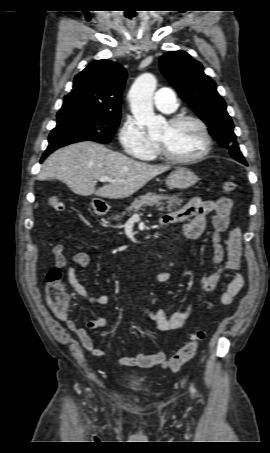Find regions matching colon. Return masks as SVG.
I'll return each instance as SVG.
<instances>
[{"instance_id":"obj_1","label":"colon","mask_w":270,"mask_h":453,"mask_svg":"<svg viewBox=\"0 0 270 453\" xmlns=\"http://www.w3.org/2000/svg\"><path fill=\"white\" fill-rule=\"evenodd\" d=\"M237 188L238 185L233 180L224 181L222 184V189L225 192H234ZM47 203L50 208L58 212L63 211L65 208L62 200L56 195L49 196ZM46 294L48 306L56 316L64 317L69 314L70 297L64 288L62 273L57 267H53L47 273ZM205 337L206 334L203 330H197L193 333L189 342L164 362L163 367L171 371L179 370L195 356L200 343L204 341Z\"/></svg>"}]
</instances>
